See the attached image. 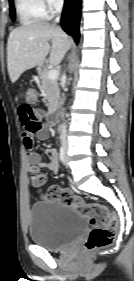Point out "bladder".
I'll list each match as a JSON object with an SVG mask.
<instances>
[{"label":"bladder","instance_id":"bladder-1","mask_svg":"<svg viewBox=\"0 0 134 281\" xmlns=\"http://www.w3.org/2000/svg\"><path fill=\"white\" fill-rule=\"evenodd\" d=\"M88 227L86 217L75 208L52 201L34 203L29 210V237L48 250H61Z\"/></svg>","mask_w":134,"mask_h":281}]
</instances>
